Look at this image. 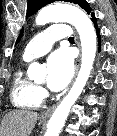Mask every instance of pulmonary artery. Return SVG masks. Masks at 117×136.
Instances as JSON below:
<instances>
[{"label":"pulmonary artery","instance_id":"pulmonary-artery-1","mask_svg":"<svg viewBox=\"0 0 117 136\" xmlns=\"http://www.w3.org/2000/svg\"><path fill=\"white\" fill-rule=\"evenodd\" d=\"M71 32L66 25L54 24L38 33L25 46L23 59L30 61L46 54L53 43L62 38H68Z\"/></svg>","mask_w":117,"mask_h":136}]
</instances>
